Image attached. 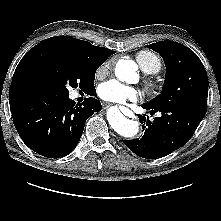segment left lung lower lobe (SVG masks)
Wrapping results in <instances>:
<instances>
[{"mask_svg": "<svg viewBox=\"0 0 221 221\" xmlns=\"http://www.w3.org/2000/svg\"><path fill=\"white\" fill-rule=\"evenodd\" d=\"M142 107L151 109V113L159 111L161 116L150 121L148 116L138 115L140 123L144 124V135L123 142L136 155L147 159L166 156L185 145L207 110V107H185L182 104L155 109L146 103Z\"/></svg>", "mask_w": 221, "mask_h": 221, "instance_id": "obj_1", "label": "left lung lower lobe"}]
</instances>
